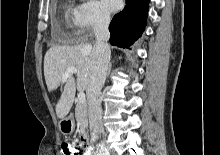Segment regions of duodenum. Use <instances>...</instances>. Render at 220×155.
<instances>
[{"label":"duodenum","mask_w":220,"mask_h":155,"mask_svg":"<svg viewBox=\"0 0 220 155\" xmlns=\"http://www.w3.org/2000/svg\"><path fill=\"white\" fill-rule=\"evenodd\" d=\"M84 136H86V138H87L86 140H89V136L88 135L85 134ZM85 151H86V155H91V147L90 146L87 145L85 147Z\"/></svg>","instance_id":"obj_1"}]
</instances>
